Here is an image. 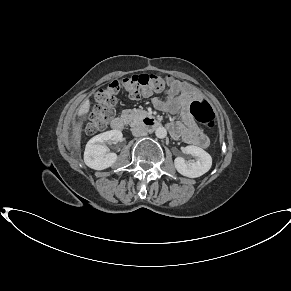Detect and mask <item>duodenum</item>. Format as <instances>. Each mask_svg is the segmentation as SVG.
<instances>
[{
  "label": "duodenum",
  "mask_w": 291,
  "mask_h": 291,
  "mask_svg": "<svg viewBox=\"0 0 291 291\" xmlns=\"http://www.w3.org/2000/svg\"><path fill=\"white\" fill-rule=\"evenodd\" d=\"M125 124V118L122 116H117L113 118L111 122V126L115 130H122ZM142 125L150 128V129H156L160 126V123L155 120L152 116H145L142 120Z\"/></svg>",
  "instance_id": "obj_1"
}]
</instances>
